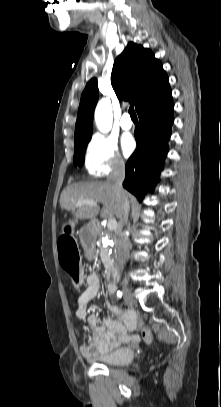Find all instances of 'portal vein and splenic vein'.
<instances>
[{
	"instance_id": "portal-vein-and-splenic-vein-1",
	"label": "portal vein and splenic vein",
	"mask_w": 221,
	"mask_h": 407,
	"mask_svg": "<svg viewBox=\"0 0 221 407\" xmlns=\"http://www.w3.org/2000/svg\"><path fill=\"white\" fill-rule=\"evenodd\" d=\"M83 204H89V205H91V206L97 207V203L94 202L93 200H81V201H79V202L76 203V206L78 207V206H81V205H83ZM117 226H118V224H117L116 219L110 218V219L108 220L107 228H108L109 230H111V231H112V230H116V229H117Z\"/></svg>"
}]
</instances>
